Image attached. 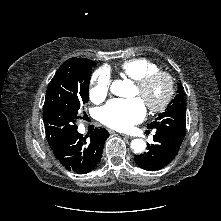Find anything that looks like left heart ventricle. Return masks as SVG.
Wrapping results in <instances>:
<instances>
[{"label":"left heart ventricle","mask_w":221,"mask_h":221,"mask_svg":"<svg viewBox=\"0 0 221 221\" xmlns=\"http://www.w3.org/2000/svg\"><path fill=\"white\" fill-rule=\"evenodd\" d=\"M166 83L163 79L156 81L147 91L141 96L139 90L135 89V95L140 96L146 103L157 104L159 103L165 95Z\"/></svg>","instance_id":"1"}]
</instances>
